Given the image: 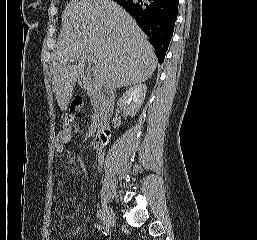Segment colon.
Wrapping results in <instances>:
<instances>
[{
    "instance_id": "1",
    "label": "colon",
    "mask_w": 257,
    "mask_h": 240,
    "mask_svg": "<svg viewBox=\"0 0 257 240\" xmlns=\"http://www.w3.org/2000/svg\"><path fill=\"white\" fill-rule=\"evenodd\" d=\"M83 106V99L80 95H75L71 101L72 110H80Z\"/></svg>"
}]
</instances>
